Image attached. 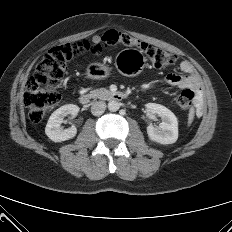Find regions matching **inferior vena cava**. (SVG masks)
Segmentation results:
<instances>
[{
  "label": "inferior vena cava",
  "instance_id": "1",
  "mask_svg": "<svg viewBox=\"0 0 232 232\" xmlns=\"http://www.w3.org/2000/svg\"><path fill=\"white\" fill-rule=\"evenodd\" d=\"M106 109V103L104 101H96L91 106V113L95 116H100Z\"/></svg>",
  "mask_w": 232,
  "mask_h": 232
}]
</instances>
